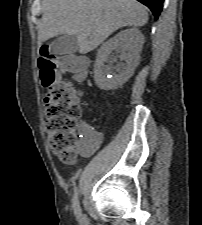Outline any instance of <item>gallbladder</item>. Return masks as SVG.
I'll use <instances>...</instances> for the list:
<instances>
[{
  "mask_svg": "<svg viewBox=\"0 0 202 225\" xmlns=\"http://www.w3.org/2000/svg\"><path fill=\"white\" fill-rule=\"evenodd\" d=\"M79 49L77 38L73 35H62L56 38L49 47V51L54 55L73 54Z\"/></svg>",
  "mask_w": 202,
  "mask_h": 225,
  "instance_id": "1",
  "label": "gallbladder"
}]
</instances>
